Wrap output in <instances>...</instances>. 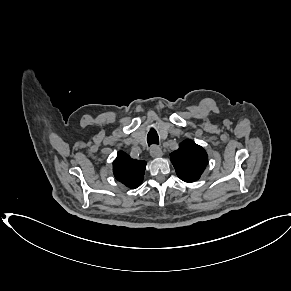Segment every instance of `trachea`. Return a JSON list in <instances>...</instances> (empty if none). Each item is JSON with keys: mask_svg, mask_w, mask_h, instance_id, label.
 Here are the masks:
<instances>
[{"mask_svg": "<svg viewBox=\"0 0 291 291\" xmlns=\"http://www.w3.org/2000/svg\"><path fill=\"white\" fill-rule=\"evenodd\" d=\"M147 142L149 146L152 144H159L158 134L154 128H151L148 132Z\"/></svg>", "mask_w": 291, "mask_h": 291, "instance_id": "3493384b", "label": "trachea"}]
</instances>
